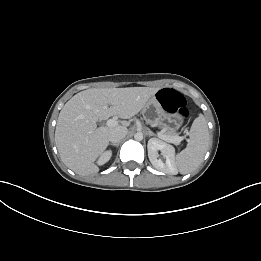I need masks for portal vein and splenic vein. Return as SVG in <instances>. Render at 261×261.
Returning a JSON list of instances; mask_svg holds the SVG:
<instances>
[{"instance_id":"1","label":"portal vein and splenic vein","mask_w":261,"mask_h":261,"mask_svg":"<svg viewBox=\"0 0 261 261\" xmlns=\"http://www.w3.org/2000/svg\"><path fill=\"white\" fill-rule=\"evenodd\" d=\"M117 124H118V121H117L116 118H112V119H109V120L107 121V126H109V127H114V126H116ZM158 136H159L161 139H163V140H165V141H167V142H170V143H179V142L181 141V138H180V137H169V136H166L165 134H163V133H161V132L158 133Z\"/></svg>"}]
</instances>
